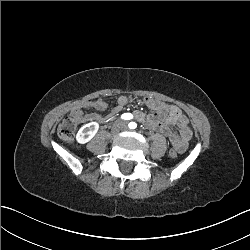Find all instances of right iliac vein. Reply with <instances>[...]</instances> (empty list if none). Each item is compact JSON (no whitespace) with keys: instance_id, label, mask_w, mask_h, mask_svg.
I'll list each match as a JSON object with an SVG mask.
<instances>
[{"instance_id":"63e3f726","label":"right iliac vein","mask_w":250,"mask_h":250,"mask_svg":"<svg viewBox=\"0 0 250 250\" xmlns=\"http://www.w3.org/2000/svg\"><path fill=\"white\" fill-rule=\"evenodd\" d=\"M112 134L114 135V134H116V131L114 130V131H112Z\"/></svg>"}]
</instances>
